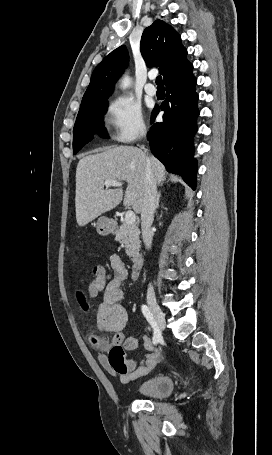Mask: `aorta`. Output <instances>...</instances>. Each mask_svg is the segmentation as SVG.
<instances>
[{
	"mask_svg": "<svg viewBox=\"0 0 272 455\" xmlns=\"http://www.w3.org/2000/svg\"><path fill=\"white\" fill-rule=\"evenodd\" d=\"M130 82H131L130 78L128 76H124L121 82V87L123 89L127 88L130 85Z\"/></svg>",
	"mask_w": 272,
	"mask_h": 455,
	"instance_id": "aorta-1",
	"label": "aorta"
}]
</instances>
